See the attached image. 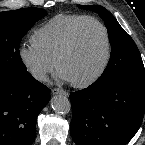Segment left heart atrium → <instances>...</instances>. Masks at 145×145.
Returning <instances> with one entry per match:
<instances>
[{
    "mask_svg": "<svg viewBox=\"0 0 145 145\" xmlns=\"http://www.w3.org/2000/svg\"><path fill=\"white\" fill-rule=\"evenodd\" d=\"M58 77L62 81H68V79L65 77V75L63 73H61V72H59Z\"/></svg>",
    "mask_w": 145,
    "mask_h": 145,
    "instance_id": "39dd6f15",
    "label": "left heart atrium"
}]
</instances>
